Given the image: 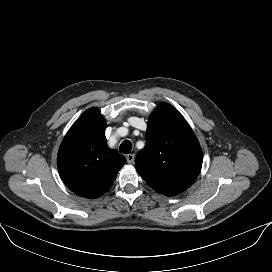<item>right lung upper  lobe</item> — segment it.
I'll return each mask as SVG.
<instances>
[{
	"label": "right lung upper lobe",
	"mask_w": 272,
	"mask_h": 272,
	"mask_svg": "<svg viewBox=\"0 0 272 272\" xmlns=\"http://www.w3.org/2000/svg\"><path fill=\"white\" fill-rule=\"evenodd\" d=\"M105 128L100 111L92 107L78 118L60 145V177L79 196L97 198L106 193L125 163L123 155L108 148Z\"/></svg>",
	"instance_id": "1"
}]
</instances>
